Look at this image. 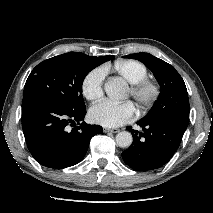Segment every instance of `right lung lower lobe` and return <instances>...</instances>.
I'll return each instance as SVG.
<instances>
[{"mask_svg": "<svg viewBox=\"0 0 213 213\" xmlns=\"http://www.w3.org/2000/svg\"><path fill=\"white\" fill-rule=\"evenodd\" d=\"M86 109L72 112L39 94H28L22 101V126L27 147L41 165L60 169L79 163L89 142L101 134L99 125L82 121ZM75 126L71 131L68 125Z\"/></svg>", "mask_w": 213, "mask_h": 213, "instance_id": "1", "label": "right lung lower lobe"}]
</instances>
